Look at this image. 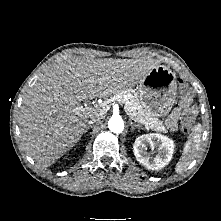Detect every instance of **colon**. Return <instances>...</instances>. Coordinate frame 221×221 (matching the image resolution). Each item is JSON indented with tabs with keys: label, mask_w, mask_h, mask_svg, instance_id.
<instances>
[{
	"label": "colon",
	"mask_w": 221,
	"mask_h": 221,
	"mask_svg": "<svg viewBox=\"0 0 221 221\" xmlns=\"http://www.w3.org/2000/svg\"><path fill=\"white\" fill-rule=\"evenodd\" d=\"M179 89L183 96V99L189 100L191 99V90L188 85L181 79H179ZM195 117L194 109L190 108L185 110L184 116L181 121V129L183 132L188 133L191 130L193 121Z\"/></svg>",
	"instance_id": "5ec220e1"
}]
</instances>
